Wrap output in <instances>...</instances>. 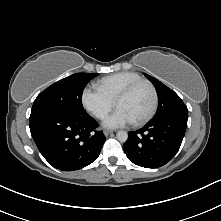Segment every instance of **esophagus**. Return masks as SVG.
Segmentation results:
<instances>
[{
    "mask_svg": "<svg viewBox=\"0 0 221 221\" xmlns=\"http://www.w3.org/2000/svg\"><path fill=\"white\" fill-rule=\"evenodd\" d=\"M111 133H113L112 130H108V129L104 130V135H105V136H108V135L111 134Z\"/></svg>",
    "mask_w": 221,
    "mask_h": 221,
    "instance_id": "1",
    "label": "esophagus"
}]
</instances>
